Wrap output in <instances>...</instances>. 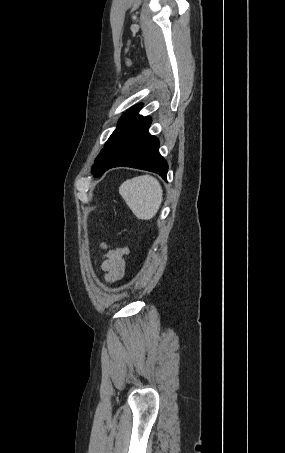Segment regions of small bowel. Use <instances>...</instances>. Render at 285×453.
Segmentation results:
<instances>
[{
    "label": "small bowel",
    "mask_w": 285,
    "mask_h": 453,
    "mask_svg": "<svg viewBox=\"0 0 285 453\" xmlns=\"http://www.w3.org/2000/svg\"><path fill=\"white\" fill-rule=\"evenodd\" d=\"M101 247L107 248L102 243ZM128 253L127 248H109L104 256L101 268L105 273V279L109 282L120 280L125 272L124 256Z\"/></svg>",
    "instance_id": "c3829d8e"
}]
</instances>
